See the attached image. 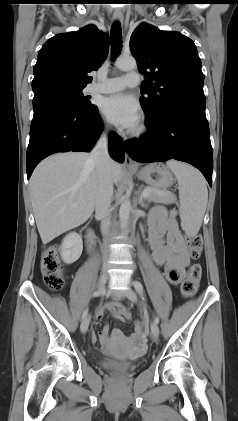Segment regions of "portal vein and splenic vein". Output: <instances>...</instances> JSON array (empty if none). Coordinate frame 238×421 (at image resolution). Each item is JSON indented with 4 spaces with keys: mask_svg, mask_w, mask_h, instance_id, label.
<instances>
[{
    "mask_svg": "<svg viewBox=\"0 0 238 421\" xmlns=\"http://www.w3.org/2000/svg\"><path fill=\"white\" fill-rule=\"evenodd\" d=\"M150 193H151V190H148V189H145L144 191H143V198H148V196L150 195ZM159 194H161V192H158Z\"/></svg>",
    "mask_w": 238,
    "mask_h": 421,
    "instance_id": "1",
    "label": "portal vein and splenic vein"
}]
</instances>
